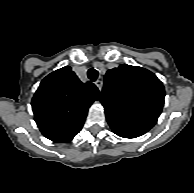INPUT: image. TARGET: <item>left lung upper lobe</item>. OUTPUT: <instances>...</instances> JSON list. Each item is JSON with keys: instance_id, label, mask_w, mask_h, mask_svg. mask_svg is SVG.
I'll return each instance as SVG.
<instances>
[{"instance_id": "5c2ea615", "label": "left lung upper lobe", "mask_w": 194, "mask_h": 193, "mask_svg": "<svg viewBox=\"0 0 194 193\" xmlns=\"http://www.w3.org/2000/svg\"><path fill=\"white\" fill-rule=\"evenodd\" d=\"M162 82L149 70L122 64L108 70L101 102L105 113L152 128L164 105Z\"/></svg>"}]
</instances>
